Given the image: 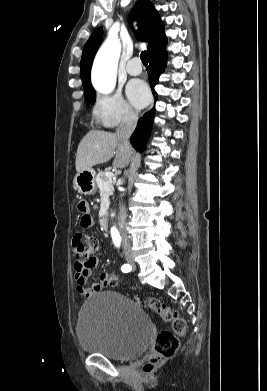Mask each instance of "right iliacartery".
Wrapping results in <instances>:
<instances>
[{
    "label": "right iliac artery",
    "mask_w": 267,
    "mask_h": 391,
    "mask_svg": "<svg viewBox=\"0 0 267 391\" xmlns=\"http://www.w3.org/2000/svg\"><path fill=\"white\" fill-rule=\"evenodd\" d=\"M121 270L123 271V272H130L131 271V266L129 265V264H124L123 266H122V268H121Z\"/></svg>",
    "instance_id": "1"
}]
</instances>
